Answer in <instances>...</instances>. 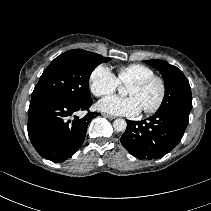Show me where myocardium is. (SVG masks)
<instances>
[{
	"label": "myocardium",
	"mask_w": 211,
	"mask_h": 211,
	"mask_svg": "<svg viewBox=\"0 0 211 211\" xmlns=\"http://www.w3.org/2000/svg\"><path fill=\"white\" fill-rule=\"evenodd\" d=\"M152 82H157L159 84L160 96H159L158 101L156 102V104L153 107L143 110V112L147 115L156 113L162 107V105L165 101V98H166V94H167V86H166L165 80L161 76L152 75V76H148V77L136 80L130 84L132 86L142 88Z\"/></svg>",
	"instance_id": "1"
}]
</instances>
